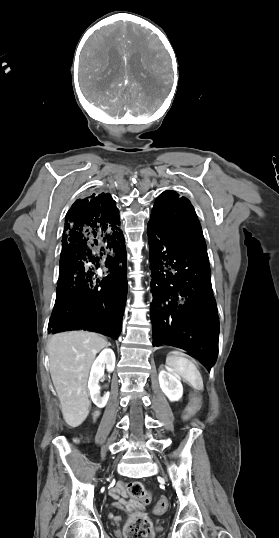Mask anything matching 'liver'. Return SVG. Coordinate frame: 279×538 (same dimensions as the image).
<instances>
[{
    "label": "liver",
    "mask_w": 279,
    "mask_h": 538,
    "mask_svg": "<svg viewBox=\"0 0 279 538\" xmlns=\"http://www.w3.org/2000/svg\"><path fill=\"white\" fill-rule=\"evenodd\" d=\"M108 342L94 332H62L49 340V370L63 418L77 428L89 414L87 380L96 354Z\"/></svg>",
    "instance_id": "liver-1"
}]
</instances>
